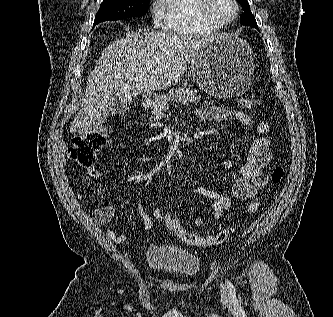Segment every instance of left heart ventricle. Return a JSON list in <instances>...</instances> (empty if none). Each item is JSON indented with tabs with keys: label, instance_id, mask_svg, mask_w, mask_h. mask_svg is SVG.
Here are the masks:
<instances>
[{
	"label": "left heart ventricle",
	"instance_id": "left-heart-ventricle-1",
	"mask_svg": "<svg viewBox=\"0 0 333 317\" xmlns=\"http://www.w3.org/2000/svg\"><path fill=\"white\" fill-rule=\"evenodd\" d=\"M212 14L219 20H227L234 12L231 0H212Z\"/></svg>",
	"mask_w": 333,
	"mask_h": 317
}]
</instances>
